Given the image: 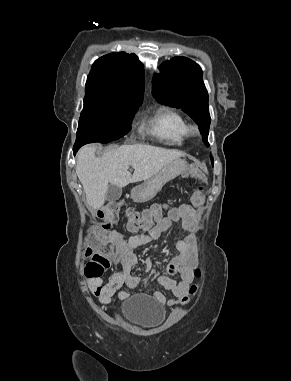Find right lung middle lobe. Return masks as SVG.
I'll return each instance as SVG.
<instances>
[{
    "instance_id": "dd1d6c3e",
    "label": "right lung middle lobe",
    "mask_w": 291,
    "mask_h": 381,
    "mask_svg": "<svg viewBox=\"0 0 291 381\" xmlns=\"http://www.w3.org/2000/svg\"><path fill=\"white\" fill-rule=\"evenodd\" d=\"M141 103L113 100L105 96L86 94L76 136V145L108 143L130 130L131 120Z\"/></svg>"
}]
</instances>
